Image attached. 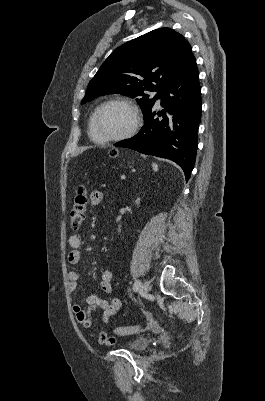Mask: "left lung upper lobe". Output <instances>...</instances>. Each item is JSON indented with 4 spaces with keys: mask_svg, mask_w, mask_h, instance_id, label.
<instances>
[{
    "mask_svg": "<svg viewBox=\"0 0 265 401\" xmlns=\"http://www.w3.org/2000/svg\"><path fill=\"white\" fill-rule=\"evenodd\" d=\"M193 56L190 44L170 28L148 32L115 49L90 81L82 104L106 94L119 93L140 105L143 114L154 105L147 92H160Z\"/></svg>",
    "mask_w": 265,
    "mask_h": 401,
    "instance_id": "obj_1",
    "label": "left lung upper lobe"
}]
</instances>
